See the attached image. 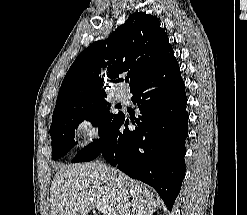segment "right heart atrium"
<instances>
[{
  "mask_svg": "<svg viewBox=\"0 0 247 215\" xmlns=\"http://www.w3.org/2000/svg\"><path fill=\"white\" fill-rule=\"evenodd\" d=\"M73 131L80 138L82 144L94 142L100 135V124L96 115L87 111L82 113L76 120Z\"/></svg>",
  "mask_w": 247,
  "mask_h": 215,
  "instance_id": "right-heart-atrium-1",
  "label": "right heart atrium"
}]
</instances>
